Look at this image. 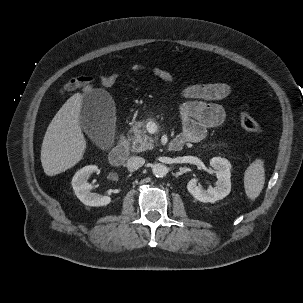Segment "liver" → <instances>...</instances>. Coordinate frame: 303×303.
<instances>
[{
  "label": "liver",
  "mask_w": 303,
  "mask_h": 303,
  "mask_svg": "<svg viewBox=\"0 0 303 303\" xmlns=\"http://www.w3.org/2000/svg\"><path fill=\"white\" fill-rule=\"evenodd\" d=\"M87 86L83 90L91 91ZM83 95L76 93L59 109L45 133L41 148V163L48 176H55L74 167L86 150V140L80 126Z\"/></svg>",
  "instance_id": "liver-1"
}]
</instances>
